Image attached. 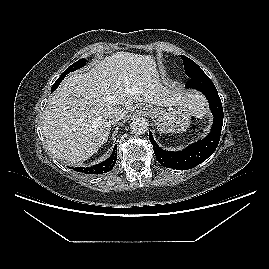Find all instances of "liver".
Masks as SVG:
<instances>
[{
  "label": "liver",
  "instance_id": "liver-1",
  "mask_svg": "<svg viewBox=\"0 0 269 269\" xmlns=\"http://www.w3.org/2000/svg\"><path fill=\"white\" fill-rule=\"evenodd\" d=\"M134 102L182 106L197 117L206 112V100L199 93L160 83L151 56L116 52L86 73L69 74L51 96L43 120L49 152L70 165L87 160L108 139L109 113L120 108L128 115Z\"/></svg>",
  "mask_w": 269,
  "mask_h": 269
}]
</instances>
